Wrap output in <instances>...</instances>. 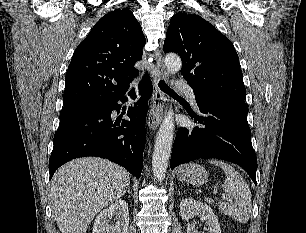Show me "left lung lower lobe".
I'll return each instance as SVG.
<instances>
[{"label": "left lung lower lobe", "mask_w": 306, "mask_h": 233, "mask_svg": "<svg viewBox=\"0 0 306 233\" xmlns=\"http://www.w3.org/2000/svg\"><path fill=\"white\" fill-rule=\"evenodd\" d=\"M195 99L202 116L192 117L202 125L179 128L171 169L197 158H218L241 166L256 184L257 159L247 123V106L228 99Z\"/></svg>", "instance_id": "0a47b994"}]
</instances>
